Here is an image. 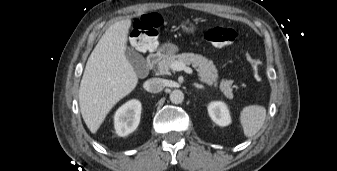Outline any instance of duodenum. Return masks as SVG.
<instances>
[{
	"label": "duodenum",
	"instance_id": "1",
	"mask_svg": "<svg viewBox=\"0 0 337 171\" xmlns=\"http://www.w3.org/2000/svg\"><path fill=\"white\" fill-rule=\"evenodd\" d=\"M162 54L160 52H152L147 56L146 71L150 72L152 68L161 59Z\"/></svg>",
	"mask_w": 337,
	"mask_h": 171
}]
</instances>
